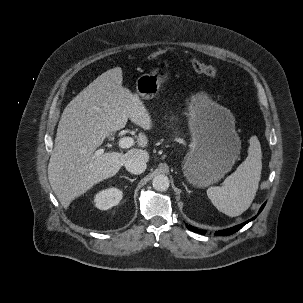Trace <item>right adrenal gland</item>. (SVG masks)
Masks as SVG:
<instances>
[{
  "instance_id": "obj_1",
  "label": "right adrenal gland",
  "mask_w": 303,
  "mask_h": 303,
  "mask_svg": "<svg viewBox=\"0 0 303 303\" xmlns=\"http://www.w3.org/2000/svg\"><path fill=\"white\" fill-rule=\"evenodd\" d=\"M122 178H125V179L129 180L130 182H134L136 180V178L131 179V178L127 177V176H122Z\"/></svg>"
}]
</instances>
